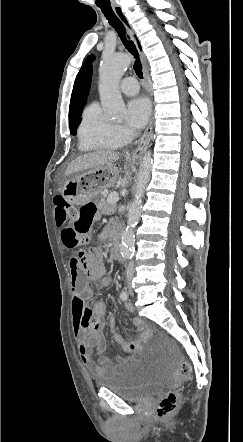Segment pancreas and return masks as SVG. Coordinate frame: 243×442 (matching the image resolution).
Returning a JSON list of instances; mask_svg holds the SVG:
<instances>
[{
    "mask_svg": "<svg viewBox=\"0 0 243 442\" xmlns=\"http://www.w3.org/2000/svg\"><path fill=\"white\" fill-rule=\"evenodd\" d=\"M109 197V196H108ZM98 209L101 210L105 214H111L116 211V204H111L108 202V198L101 199L98 203Z\"/></svg>",
    "mask_w": 243,
    "mask_h": 442,
    "instance_id": "1",
    "label": "pancreas"
}]
</instances>
